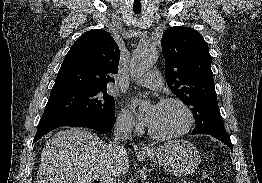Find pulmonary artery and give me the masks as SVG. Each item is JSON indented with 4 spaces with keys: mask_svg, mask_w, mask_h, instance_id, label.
I'll use <instances>...</instances> for the list:
<instances>
[{
    "mask_svg": "<svg viewBox=\"0 0 262 183\" xmlns=\"http://www.w3.org/2000/svg\"><path fill=\"white\" fill-rule=\"evenodd\" d=\"M137 83L150 89H159L163 86V79L159 71L152 70L141 77Z\"/></svg>",
    "mask_w": 262,
    "mask_h": 183,
    "instance_id": "obj_1",
    "label": "pulmonary artery"
}]
</instances>
